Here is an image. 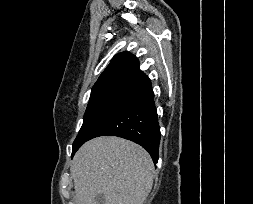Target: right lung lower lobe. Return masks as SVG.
I'll return each mask as SVG.
<instances>
[{"label": "right lung lower lobe", "mask_w": 253, "mask_h": 204, "mask_svg": "<svg viewBox=\"0 0 253 204\" xmlns=\"http://www.w3.org/2000/svg\"><path fill=\"white\" fill-rule=\"evenodd\" d=\"M106 135L122 137L141 145L151 155L153 162L157 163L160 126L148 77L119 104L89 140Z\"/></svg>", "instance_id": "obj_1"}]
</instances>
